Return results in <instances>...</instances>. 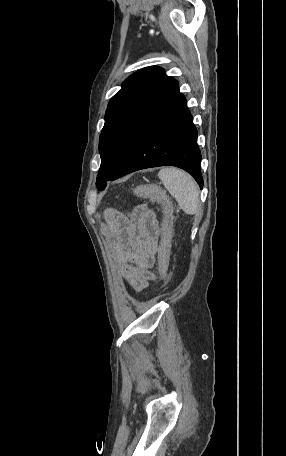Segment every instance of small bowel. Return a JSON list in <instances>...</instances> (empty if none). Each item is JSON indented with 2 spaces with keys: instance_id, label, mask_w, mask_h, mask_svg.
I'll return each mask as SVG.
<instances>
[{
  "instance_id": "1",
  "label": "small bowel",
  "mask_w": 286,
  "mask_h": 456,
  "mask_svg": "<svg viewBox=\"0 0 286 456\" xmlns=\"http://www.w3.org/2000/svg\"><path fill=\"white\" fill-rule=\"evenodd\" d=\"M108 241L116 273L129 286L140 291L155 280L159 226L156 213L145 205L135 207L129 216L111 213Z\"/></svg>"
}]
</instances>
